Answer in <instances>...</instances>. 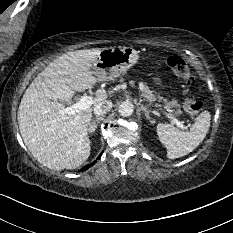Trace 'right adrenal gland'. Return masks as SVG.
Here are the masks:
<instances>
[{"label": "right adrenal gland", "instance_id": "1", "mask_svg": "<svg viewBox=\"0 0 233 233\" xmlns=\"http://www.w3.org/2000/svg\"><path fill=\"white\" fill-rule=\"evenodd\" d=\"M104 117H105L104 115H101L93 118L92 121L89 123L88 131L94 132L98 126V123H100V121H102Z\"/></svg>", "mask_w": 233, "mask_h": 233}]
</instances>
